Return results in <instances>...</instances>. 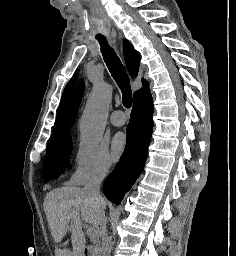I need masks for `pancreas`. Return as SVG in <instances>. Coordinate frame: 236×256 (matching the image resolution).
<instances>
[{"label": "pancreas", "mask_w": 236, "mask_h": 256, "mask_svg": "<svg viewBox=\"0 0 236 256\" xmlns=\"http://www.w3.org/2000/svg\"><path fill=\"white\" fill-rule=\"evenodd\" d=\"M95 234H91L90 236V240L92 242V244H94L93 246V254H100V229L99 227H96L95 229Z\"/></svg>", "instance_id": "1"}]
</instances>
